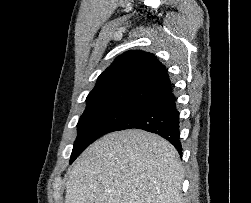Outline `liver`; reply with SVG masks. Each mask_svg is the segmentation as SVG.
<instances>
[{
    "label": "liver",
    "instance_id": "obj_1",
    "mask_svg": "<svg viewBox=\"0 0 251 203\" xmlns=\"http://www.w3.org/2000/svg\"><path fill=\"white\" fill-rule=\"evenodd\" d=\"M184 170L176 149L143 130L109 133L69 173L65 203H182Z\"/></svg>",
    "mask_w": 251,
    "mask_h": 203
}]
</instances>
